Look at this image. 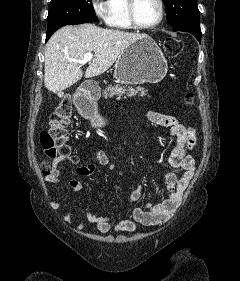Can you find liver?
Returning <instances> with one entry per match:
<instances>
[{
	"label": "liver",
	"mask_w": 240,
	"mask_h": 281,
	"mask_svg": "<svg viewBox=\"0 0 240 281\" xmlns=\"http://www.w3.org/2000/svg\"><path fill=\"white\" fill-rule=\"evenodd\" d=\"M144 36L146 35L102 29L89 23L60 28L46 45L45 87L57 93L78 82L83 72L80 63L73 60L82 59L86 53H93L94 58L85 71V78L101 75L127 47Z\"/></svg>",
	"instance_id": "obj_1"
}]
</instances>
